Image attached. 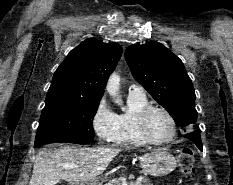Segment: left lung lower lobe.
I'll list each match as a JSON object with an SVG mask.
<instances>
[{
    "label": "left lung lower lobe",
    "instance_id": "obj_1",
    "mask_svg": "<svg viewBox=\"0 0 233 185\" xmlns=\"http://www.w3.org/2000/svg\"><path fill=\"white\" fill-rule=\"evenodd\" d=\"M184 137L194 142L196 146L202 151V142H201V137L199 133L191 132V133L185 134Z\"/></svg>",
    "mask_w": 233,
    "mask_h": 185
}]
</instances>
